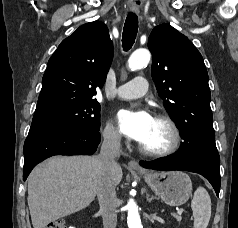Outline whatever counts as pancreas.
<instances>
[{
	"instance_id": "pancreas-1",
	"label": "pancreas",
	"mask_w": 238,
	"mask_h": 228,
	"mask_svg": "<svg viewBox=\"0 0 238 228\" xmlns=\"http://www.w3.org/2000/svg\"><path fill=\"white\" fill-rule=\"evenodd\" d=\"M174 218H175L178 222H180V221L182 220V217H181V215H179V214H174Z\"/></svg>"
}]
</instances>
